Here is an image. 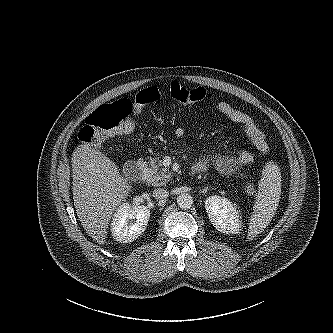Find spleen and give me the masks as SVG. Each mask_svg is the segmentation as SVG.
Returning <instances> with one entry per match:
<instances>
[{
    "label": "spleen",
    "mask_w": 333,
    "mask_h": 333,
    "mask_svg": "<svg viewBox=\"0 0 333 333\" xmlns=\"http://www.w3.org/2000/svg\"><path fill=\"white\" fill-rule=\"evenodd\" d=\"M281 195V172L277 164L267 162L262 170L258 193L249 221L247 239L252 240L269 225Z\"/></svg>",
    "instance_id": "obj_1"
}]
</instances>
